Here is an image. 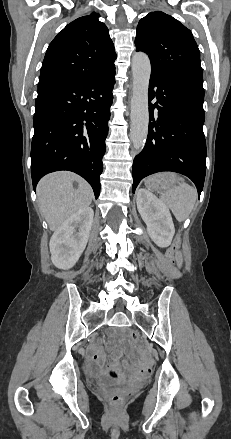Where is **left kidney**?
I'll list each match as a JSON object with an SVG mask.
<instances>
[{
  "label": "left kidney",
  "instance_id": "left-kidney-1",
  "mask_svg": "<svg viewBox=\"0 0 231 439\" xmlns=\"http://www.w3.org/2000/svg\"><path fill=\"white\" fill-rule=\"evenodd\" d=\"M137 208L154 243L161 248L168 247L175 228L167 206L153 193L141 188L137 192Z\"/></svg>",
  "mask_w": 231,
  "mask_h": 439
}]
</instances>
